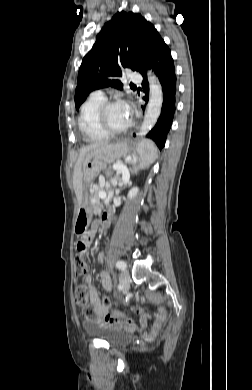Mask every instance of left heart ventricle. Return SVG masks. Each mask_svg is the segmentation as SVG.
Segmentation results:
<instances>
[{
	"mask_svg": "<svg viewBox=\"0 0 252 390\" xmlns=\"http://www.w3.org/2000/svg\"><path fill=\"white\" fill-rule=\"evenodd\" d=\"M106 119L109 126L115 130L124 129L131 122V118L122 103L111 106L107 111Z\"/></svg>",
	"mask_w": 252,
	"mask_h": 390,
	"instance_id": "b2bd125f",
	"label": "left heart ventricle"
}]
</instances>
